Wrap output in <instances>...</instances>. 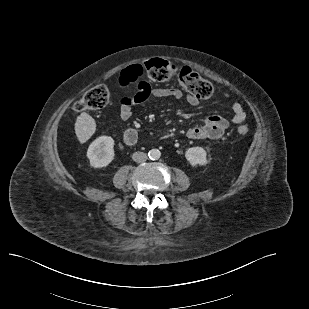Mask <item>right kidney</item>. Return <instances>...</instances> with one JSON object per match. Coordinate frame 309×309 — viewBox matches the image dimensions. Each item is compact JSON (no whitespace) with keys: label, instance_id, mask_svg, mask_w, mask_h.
Listing matches in <instances>:
<instances>
[{"label":"right kidney","instance_id":"1","mask_svg":"<svg viewBox=\"0 0 309 309\" xmlns=\"http://www.w3.org/2000/svg\"><path fill=\"white\" fill-rule=\"evenodd\" d=\"M114 140L110 136H100L94 140L88 150L87 157L94 168L108 166L114 159Z\"/></svg>","mask_w":309,"mask_h":309}]
</instances>
